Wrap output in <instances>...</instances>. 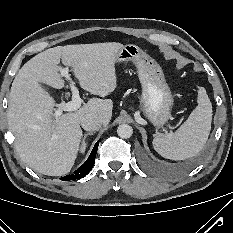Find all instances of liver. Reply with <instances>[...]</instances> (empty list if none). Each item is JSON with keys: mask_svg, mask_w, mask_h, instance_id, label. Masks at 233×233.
I'll return each instance as SVG.
<instances>
[{"mask_svg": "<svg viewBox=\"0 0 233 233\" xmlns=\"http://www.w3.org/2000/svg\"><path fill=\"white\" fill-rule=\"evenodd\" d=\"M122 47L116 42L57 46L22 66L10 90L7 119L15 149L27 166L49 176L69 173L83 135L82 118L93 114L107 125L112 117V100L99 98L56 117L52 113L55 101L40 83L55 89L64 87L58 66L61 61L72 67L81 88L94 95H107L117 87L115 63Z\"/></svg>", "mask_w": 233, "mask_h": 233, "instance_id": "liver-1", "label": "liver"}]
</instances>
